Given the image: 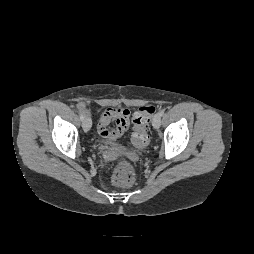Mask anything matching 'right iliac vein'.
I'll return each instance as SVG.
<instances>
[{
	"label": "right iliac vein",
	"instance_id": "63e3f726",
	"mask_svg": "<svg viewBox=\"0 0 254 254\" xmlns=\"http://www.w3.org/2000/svg\"><path fill=\"white\" fill-rule=\"evenodd\" d=\"M82 127L84 129V131H89L91 128V119L89 117V115H85L83 120H82Z\"/></svg>",
	"mask_w": 254,
	"mask_h": 254
}]
</instances>
